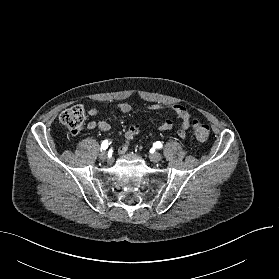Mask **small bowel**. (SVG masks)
<instances>
[{"instance_id": "c3829d8e", "label": "small bowel", "mask_w": 279, "mask_h": 279, "mask_svg": "<svg viewBox=\"0 0 279 279\" xmlns=\"http://www.w3.org/2000/svg\"><path fill=\"white\" fill-rule=\"evenodd\" d=\"M118 109L122 113H129L132 108H131V105L128 103H120L118 105ZM148 109L151 111H161V110L172 111L175 114V116L181 121L180 125L177 128V133H178L179 137H181L182 139H184L186 137L187 130L189 129V127L191 125V119H192L191 113L187 109L186 106H184L182 104H173V105L151 104L148 107ZM97 113H98V111L96 108H90L88 110V115L90 117H95L97 115ZM172 127H173L172 121L166 120V121L162 122L160 125H158L157 129L160 132H168L172 129ZM86 128L89 130L98 129V130L106 133V132L110 131L111 126L106 121L91 120L87 123ZM141 132H142L141 125L139 123L133 124L126 131V133L124 135V140L122 141V143L118 149L119 154L125 153L128 150L131 143L133 142V140L135 139V137L140 135Z\"/></svg>"}]
</instances>
